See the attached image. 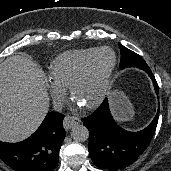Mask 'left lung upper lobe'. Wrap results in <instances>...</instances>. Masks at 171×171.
Masks as SVG:
<instances>
[{"instance_id":"1","label":"left lung upper lobe","mask_w":171,"mask_h":171,"mask_svg":"<svg viewBox=\"0 0 171 171\" xmlns=\"http://www.w3.org/2000/svg\"><path fill=\"white\" fill-rule=\"evenodd\" d=\"M119 47L121 50V61L120 68L124 69L126 67H138L144 71H149L150 68L145 62V60L138 55L137 53L129 50L119 43Z\"/></svg>"}]
</instances>
